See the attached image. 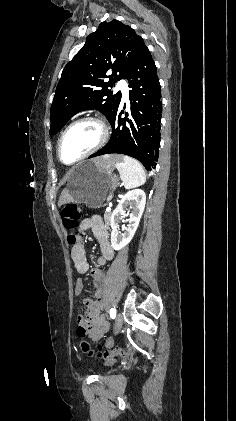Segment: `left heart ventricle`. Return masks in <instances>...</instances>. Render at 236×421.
<instances>
[{"label": "left heart ventricle", "mask_w": 236, "mask_h": 421, "mask_svg": "<svg viewBox=\"0 0 236 421\" xmlns=\"http://www.w3.org/2000/svg\"><path fill=\"white\" fill-rule=\"evenodd\" d=\"M101 137L99 127L93 123H83L73 127L62 143V159L71 164L93 148Z\"/></svg>", "instance_id": "b2bd125f"}]
</instances>
